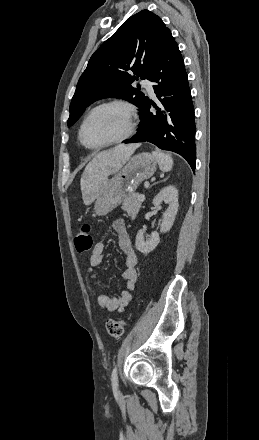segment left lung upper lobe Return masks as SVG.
<instances>
[{
	"label": "left lung upper lobe",
	"mask_w": 259,
	"mask_h": 440,
	"mask_svg": "<svg viewBox=\"0 0 259 440\" xmlns=\"http://www.w3.org/2000/svg\"><path fill=\"white\" fill-rule=\"evenodd\" d=\"M169 34L161 18L148 10L126 20L91 56L70 104L68 126L87 106L105 97L128 100L142 112L149 98L131 84L139 78L149 79Z\"/></svg>",
	"instance_id": "5c2ea615"
}]
</instances>
